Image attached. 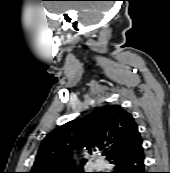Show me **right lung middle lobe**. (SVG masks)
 Wrapping results in <instances>:
<instances>
[{
  "mask_svg": "<svg viewBox=\"0 0 170 173\" xmlns=\"http://www.w3.org/2000/svg\"><path fill=\"white\" fill-rule=\"evenodd\" d=\"M72 173H84L83 171H74Z\"/></svg>",
  "mask_w": 170,
  "mask_h": 173,
  "instance_id": "obj_1",
  "label": "right lung middle lobe"
}]
</instances>
